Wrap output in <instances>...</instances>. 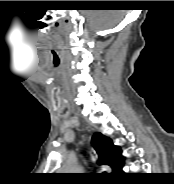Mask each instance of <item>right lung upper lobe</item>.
Segmentation results:
<instances>
[{
    "label": "right lung upper lobe",
    "instance_id": "cb5924a9",
    "mask_svg": "<svg viewBox=\"0 0 174 184\" xmlns=\"http://www.w3.org/2000/svg\"><path fill=\"white\" fill-rule=\"evenodd\" d=\"M92 145L99 156V164L108 165L116 174L124 164L121 149L112 140L97 132L92 137Z\"/></svg>",
    "mask_w": 174,
    "mask_h": 184
}]
</instances>
